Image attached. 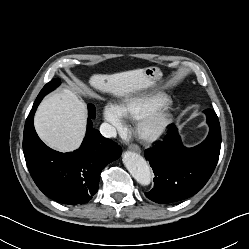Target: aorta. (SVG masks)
<instances>
[{"instance_id": "aorta-1", "label": "aorta", "mask_w": 249, "mask_h": 249, "mask_svg": "<svg viewBox=\"0 0 249 249\" xmlns=\"http://www.w3.org/2000/svg\"><path fill=\"white\" fill-rule=\"evenodd\" d=\"M123 163L133 178L142 186L151 183V170L146 160L138 153L127 151L123 154Z\"/></svg>"}]
</instances>
